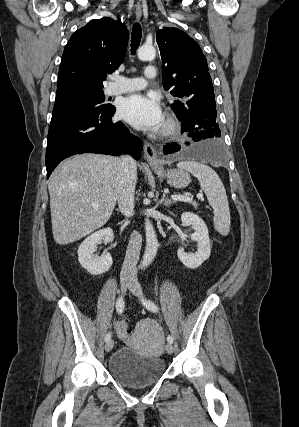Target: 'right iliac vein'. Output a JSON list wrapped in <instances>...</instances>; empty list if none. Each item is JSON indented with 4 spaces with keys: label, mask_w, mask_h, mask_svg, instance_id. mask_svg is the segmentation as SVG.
<instances>
[{
    "label": "right iliac vein",
    "mask_w": 299,
    "mask_h": 427,
    "mask_svg": "<svg viewBox=\"0 0 299 427\" xmlns=\"http://www.w3.org/2000/svg\"><path fill=\"white\" fill-rule=\"evenodd\" d=\"M130 286V280L126 277H123L121 279V289L123 293H126L127 289ZM114 346V341L113 340H108L105 344V351L106 352H110L113 349Z\"/></svg>",
    "instance_id": "right-iliac-vein-1"
}]
</instances>
